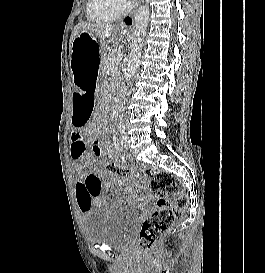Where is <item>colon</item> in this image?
<instances>
[{
	"label": "colon",
	"mask_w": 265,
	"mask_h": 273,
	"mask_svg": "<svg viewBox=\"0 0 265 273\" xmlns=\"http://www.w3.org/2000/svg\"><path fill=\"white\" fill-rule=\"evenodd\" d=\"M92 151L96 157L103 154V150L97 142L93 143ZM105 168L117 176L133 175L144 179L152 195L156 198L157 208L143 221L137 239L141 249L151 250L171 228L175 220L183 216L188 206L189 199L184 194L180 181L169 172L150 168L133 170L111 163H106Z\"/></svg>",
	"instance_id": "5ec220e1"
}]
</instances>
